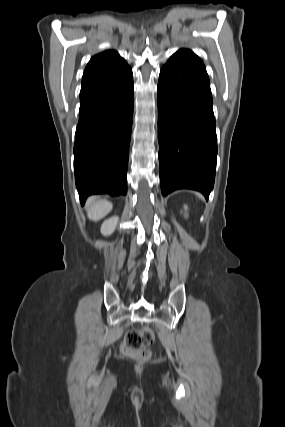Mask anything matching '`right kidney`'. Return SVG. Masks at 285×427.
<instances>
[{"instance_id":"obj_1","label":"right kidney","mask_w":285,"mask_h":427,"mask_svg":"<svg viewBox=\"0 0 285 427\" xmlns=\"http://www.w3.org/2000/svg\"><path fill=\"white\" fill-rule=\"evenodd\" d=\"M118 223V217L114 216L105 220L101 226V233L105 236L110 235L114 232Z\"/></svg>"}]
</instances>
